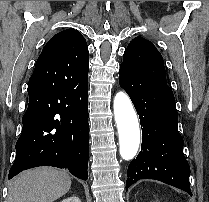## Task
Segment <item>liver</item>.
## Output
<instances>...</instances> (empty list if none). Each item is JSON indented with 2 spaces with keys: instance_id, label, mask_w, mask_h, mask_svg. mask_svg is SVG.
<instances>
[{
  "instance_id": "1",
  "label": "liver",
  "mask_w": 209,
  "mask_h": 202,
  "mask_svg": "<svg viewBox=\"0 0 209 202\" xmlns=\"http://www.w3.org/2000/svg\"><path fill=\"white\" fill-rule=\"evenodd\" d=\"M71 184V177L63 170L42 167L24 171L9 183L6 202H54Z\"/></svg>"
}]
</instances>
